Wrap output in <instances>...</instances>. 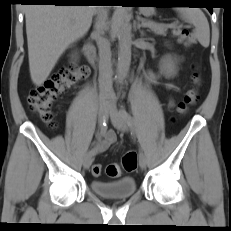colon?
Segmentation results:
<instances>
[{"instance_id":"obj_1","label":"colon","mask_w":231,"mask_h":231,"mask_svg":"<svg viewBox=\"0 0 231 231\" xmlns=\"http://www.w3.org/2000/svg\"><path fill=\"white\" fill-rule=\"evenodd\" d=\"M172 34L179 39V41L192 45L196 43L194 35L184 26L177 22L170 24ZM88 74V69L85 66L75 64L63 67L59 71L53 73L43 84L33 88L28 96V105L30 109L36 113L40 119L46 123L49 128L55 129L57 123L54 120L52 107L54 103L61 99L71 89L82 82ZM193 82L196 86L200 83V78L194 74ZM199 99L197 88L189 90L182 101L177 106L179 114H184L192 105ZM137 168V154L134 151L127 152L123 158L122 163H113L106 167V174L109 177H119L123 171L132 172ZM91 172L93 176L98 177L102 173V166L94 164Z\"/></svg>"}]
</instances>
